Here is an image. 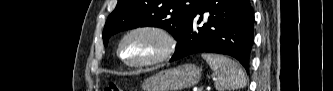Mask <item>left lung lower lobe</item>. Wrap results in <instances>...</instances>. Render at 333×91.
<instances>
[{"instance_id": "0a47b994", "label": "left lung lower lobe", "mask_w": 333, "mask_h": 91, "mask_svg": "<svg viewBox=\"0 0 333 91\" xmlns=\"http://www.w3.org/2000/svg\"><path fill=\"white\" fill-rule=\"evenodd\" d=\"M204 12L207 23L200 26ZM253 24L250 0H201L176 38L170 61L199 52L220 53L236 58L248 71Z\"/></svg>"}]
</instances>
